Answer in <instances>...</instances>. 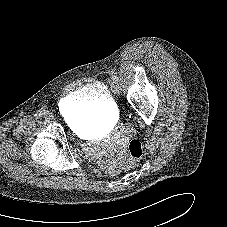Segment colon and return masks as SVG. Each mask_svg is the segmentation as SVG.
Wrapping results in <instances>:
<instances>
[{
	"label": "colon",
	"instance_id": "1",
	"mask_svg": "<svg viewBox=\"0 0 227 227\" xmlns=\"http://www.w3.org/2000/svg\"><path fill=\"white\" fill-rule=\"evenodd\" d=\"M143 153L142 145L138 140H131L128 144V158L124 164L125 169L133 167L141 158Z\"/></svg>",
	"mask_w": 227,
	"mask_h": 227
}]
</instances>
